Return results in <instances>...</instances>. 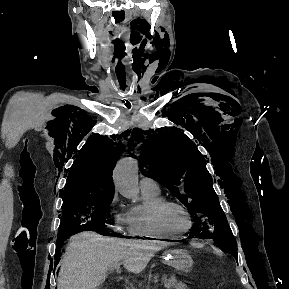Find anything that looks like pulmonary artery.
<instances>
[{
    "label": "pulmonary artery",
    "mask_w": 289,
    "mask_h": 289,
    "mask_svg": "<svg viewBox=\"0 0 289 289\" xmlns=\"http://www.w3.org/2000/svg\"><path fill=\"white\" fill-rule=\"evenodd\" d=\"M140 187L142 191L159 192V184L151 177H142Z\"/></svg>",
    "instance_id": "obj_1"
}]
</instances>
